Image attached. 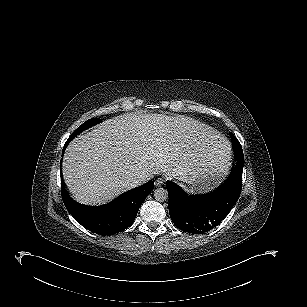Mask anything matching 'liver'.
<instances>
[{"instance_id":"1","label":"liver","mask_w":307,"mask_h":307,"mask_svg":"<svg viewBox=\"0 0 307 307\" xmlns=\"http://www.w3.org/2000/svg\"><path fill=\"white\" fill-rule=\"evenodd\" d=\"M216 136L191 118L129 113L97 125L66 148L62 173L74 199L101 205L130 189L139 176L186 181L217 166Z\"/></svg>"}]
</instances>
